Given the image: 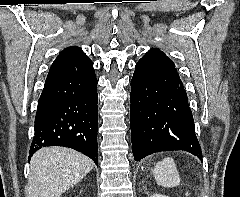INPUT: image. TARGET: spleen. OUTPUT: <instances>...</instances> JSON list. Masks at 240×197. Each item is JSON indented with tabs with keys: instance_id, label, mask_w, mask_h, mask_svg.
<instances>
[{
	"instance_id": "3e777b00",
	"label": "spleen",
	"mask_w": 240,
	"mask_h": 197,
	"mask_svg": "<svg viewBox=\"0 0 240 197\" xmlns=\"http://www.w3.org/2000/svg\"><path fill=\"white\" fill-rule=\"evenodd\" d=\"M156 183L163 187H174L180 183L179 173L172 158H164L153 170Z\"/></svg>"
}]
</instances>
